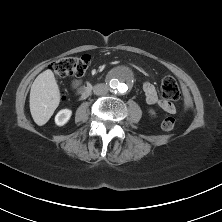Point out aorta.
I'll return each mask as SVG.
<instances>
[{
	"label": "aorta",
	"mask_w": 222,
	"mask_h": 222,
	"mask_svg": "<svg viewBox=\"0 0 222 222\" xmlns=\"http://www.w3.org/2000/svg\"><path fill=\"white\" fill-rule=\"evenodd\" d=\"M133 82L131 72L127 68L116 69L109 78V86L113 92L125 93Z\"/></svg>",
	"instance_id": "aorta-1"
}]
</instances>
